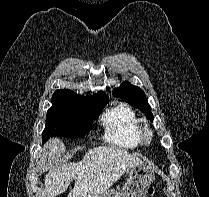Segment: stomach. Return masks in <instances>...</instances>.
I'll return each instance as SVG.
<instances>
[{
  "label": "stomach",
  "mask_w": 209,
  "mask_h": 197,
  "mask_svg": "<svg viewBox=\"0 0 209 197\" xmlns=\"http://www.w3.org/2000/svg\"><path fill=\"white\" fill-rule=\"evenodd\" d=\"M152 168L145 163L132 167L121 192L107 190L100 197H145L148 187L154 181Z\"/></svg>",
  "instance_id": "stomach-1"
}]
</instances>
